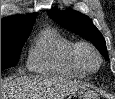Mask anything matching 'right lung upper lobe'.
Masks as SVG:
<instances>
[{
  "mask_svg": "<svg viewBox=\"0 0 115 99\" xmlns=\"http://www.w3.org/2000/svg\"><path fill=\"white\" fill-rule=\"evenodd\" d=\"M36 13L16 15L1 20V36L30 34Z\"/></svg>",
  "mask_w": 115,
  "mask_h": 99,
  "instance_id": "cb5924a9",
  "label": "right lung upper lobe"
}]
</instances>
